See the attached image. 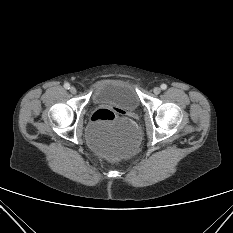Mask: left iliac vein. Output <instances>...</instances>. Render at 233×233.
Masks as SVG:
<instances>
[{"label": "left iliac vein", "mask_w": 233, "mask_h": 233, "mask_svg": "<svg viewBox=\"0 0 233 233\" xmlns=\"http://www.w3.org/2000/svg\"><path fill=\"white\" fill-rule=\"evenodd\" d=\"M160 92H161V89L159 87H155L153 89V93L156 94V95H158Z\"/></svg>", "instance_id": "left-iliac-vein-1"}]
</instances>
